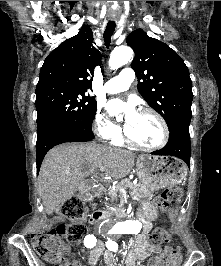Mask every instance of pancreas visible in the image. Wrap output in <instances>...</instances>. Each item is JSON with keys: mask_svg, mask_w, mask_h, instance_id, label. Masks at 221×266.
I'll use <instances>...</instances> for the list:
<instances>
[{"mask_svg": "<svg viewBox=\"0 0 221 266\" xmlns=\"http://www.w3.org/2000/svg\"><path fill=\"white\" fill-rule=\"evenodd\" d=\"M119 186L125 189L130 188L131 195H133L138 200L151 199L153 197L152 191L146 185L142 183L133 185L129 179H124L115 188L108 189V195L112 200V205L116 204L118 200L120 202H123V194L121 193Z\"/></svg>", "mask_w": 221, "mask_h": 266, "instance_id": "cf45deb5", "label": "pancreas"}]
</instances>
